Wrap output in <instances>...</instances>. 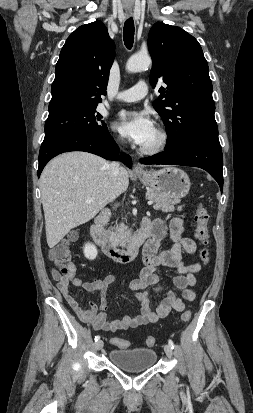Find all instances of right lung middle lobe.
Here are the masks:
<instances>
[{
    "label": "right lung middle lobe",
    "instance_id": "obj_1",
    "mask_svg": "<svg viewBox=\"0 0 253 413\" xmlns=\"http://www.w3.org/2000/svg\"><path fill=\"white\" fill-rule=\"evenodd\" d=\"M96 107L72 109L49 115L45 122L44 141L63 136H93L107 131Z\"/></svg>",
    "mask_w": 253,
    "mask_h": 413
}]
</instances>
